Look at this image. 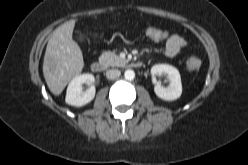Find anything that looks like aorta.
I'll list each match as a JSON object with an SVG mask.
<instances>
[{"instance_id": "1", "label": "aorta", "mask_w": 248, "mask_h": 165, "mask_svg": "<svg viewBox=\"0 0 248 165\" xmlns=\"http://www.w3.org/2000/svg\"><path fill=\"white\" fill-rule=\"evenodd\" d=\"M124 77H125L126 80L131 81V80H133L135 78V72L133 70H131V69H128V70L125 71Z\"/></svg>"}]
</instances>
